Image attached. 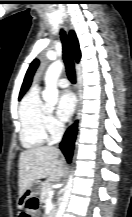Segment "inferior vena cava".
Wrapping results in <instances>:
<instances>
[{
    "label": "inferior vena cava",
    "instance_id": "obj_1",
    "mask_svg": "<svg viewBox=\"0 0 132 217\" xmlns=\"http://www.w3.org/2000/svg\"><path fill=\"white\" fill-rule=\"evenodd\" d=\"M64 133V124L63 123H59L58 127H57V134L62 136Z\"/></svg>",
    "mask_w": 132,
    "mask_h": 217
}]
</instances>
